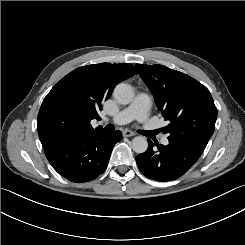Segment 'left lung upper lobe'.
I'll use <instances>...</instances> for the list:
<instances>
[{"label": "left lung upper lobe", "mask_w": 245, "mask_h": 245, "mask_svg": "<svg viewBox=\"0 0 245 245\" xmlns=\"http://www.w3.org/2000/svg\"><path fill=\"white\" fill-rule=\"evenodd\" d=\"M169 124L168 140L204 150L215 129L217 108L209 90L192 77L162 65L136 64Z\"/></svg>", "instance_id": "1"}]
</instances>
